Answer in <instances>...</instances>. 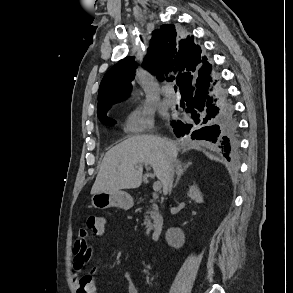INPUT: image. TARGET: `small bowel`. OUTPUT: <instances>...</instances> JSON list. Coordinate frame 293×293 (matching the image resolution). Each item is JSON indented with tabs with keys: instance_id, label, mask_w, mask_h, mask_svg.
Masks as SVG:
<instances>
[{
	"instance_id": "small-bowel-1",
	"label": "small bowel",
	"mask_w": 293,
	"mask_h": 293,
	"mask_svg": "<svg viewBox=\"0 0 293 293\" xmlns=\"http://www.w3.org/2000/svg\"><path fill=\"white\" fill-rule=\"evenodd\" d=\"M106 234V229L95 235L96 237H103ZM91 235L85 229L78 231L77 240L74 247V260H73V280L77 289V293H98L97 285L94 278L90 274L81 275L83 269L89 263L94 249L88 245ZM124 280L127 283V293H139L138 288L132 282V274L130 272L124 273Z\"/></svg>"
}]
</instances>
